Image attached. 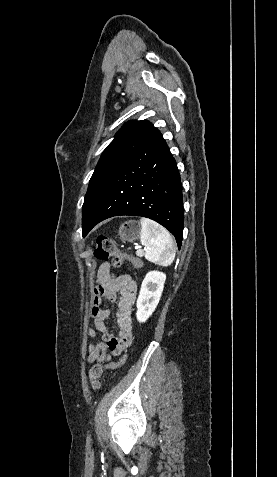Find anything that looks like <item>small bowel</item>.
Segmentation results:
<instances>
[{
    "mask_svg": "<svg viewBox=\"0 0 277 477\" xmlns=\"http://www.w3.org/2000/svg\"><path fill=\"white\" fill-rule=\"evenodd\" d=\"M97 283L93 291L91 306L94 328L87 329V336L95 338L97 332H100L101 341L87 346V362L100 364L102 368H116L125 362V358L123 357L117 363H108L111 359L110 353H119L125 350L133 340L132 310L136 299L137 283L129 275H113L107 262L99 267ZM117 298L119 333L118 336H115L105 322L110 315V310L102 308L101 304L104 299L115 301Z\"/></svg>",
    "mask_w": 277,
    "mask_h": 477,
    "instance_id": "c3829d8e",
    "label": "small bowel"
}]
</instances>
